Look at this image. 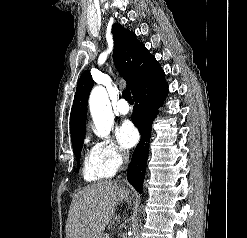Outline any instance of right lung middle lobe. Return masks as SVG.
Returning a JSON list of instances; mask_svg holds the SVG:
<instances>
[{
	"label": "right lung middle lobe",
	"instance_id": "obj_1",
	"mask_svg": "<svg viewBox=\"0 0 247 238\" xmlns=\"http://www.w3.org/2000/svg\"><path fill=\"white\" fill-rule=\"evenodd\" d=\"M83 142H84V138L73 143V152L75 154V156L78 158H80V151L82 150V147H83ZM77 166L78 168H80V161L77 160Z\"/></svg>",
	"mask_w": 247,
	"mask_h": 238
}]
</instances>
